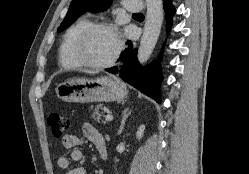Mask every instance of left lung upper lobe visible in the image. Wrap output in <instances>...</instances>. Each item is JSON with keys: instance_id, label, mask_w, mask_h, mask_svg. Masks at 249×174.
<instances>
[{"instance_id": "obj_1", "label": "left lung upper lobe", "mask_w": 249, "mask_h": 174, "mask_svg": "<svg viewBox=\"0 0 249 174\" xmlns=\"http://www.w3.org/2000/svg\"><path fill=\"white\" fill-rule=\"evenodd\" d=\"M110 0H72L68 12L57 31L61 32L69 27L82 13L86 11L99 12L106 10Z\"/></svg>"}]
</instances>
